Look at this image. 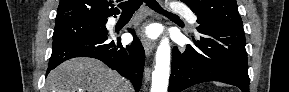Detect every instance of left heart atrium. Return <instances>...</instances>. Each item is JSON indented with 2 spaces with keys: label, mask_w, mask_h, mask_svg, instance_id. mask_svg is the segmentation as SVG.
Returning <instances> with one entry per match:
<instances>
[{
  "label": "left heart atrium",
  "mask_w": 289,
  "mask_h": 92,
  "mask_svg": "<svg viewBox=\"0 0 289 92\" xmlns=\"http://www.w3.org/2000/svg\"><path fill=\"white\" fill-rule=\"evenodd\" d=\"M140 33L145 37L154 38L158 34V29L155 26H146L140 30Z\"/></svg>",
  "instance_id": "left-heart-atrium-1"
}]
</instances>
